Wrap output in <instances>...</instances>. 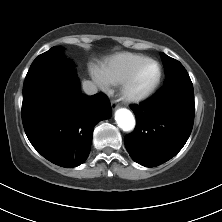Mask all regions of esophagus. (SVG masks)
I'll return each instance as SVG.
<instances>
[{"instance_id":"esophagus-1","label":"esophagus","mask_w":222,"mask_h":222,"mask_svg":"<svg viewBox=\"0 0 222 222\" xmlns=\"http://www.w3.org/2000/svg\"><path fill=\"white\" fill-rule=\"evenodd\" d=\"M111 106H112V108H113L114 110L118 108V104L116 103L115 100H112V101H111Z\"/></svg>"}]
</instances>
